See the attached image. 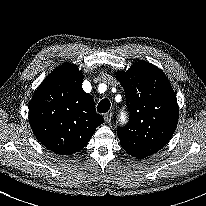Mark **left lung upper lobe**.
I'll return each mask as SVG.
<instances>
[{"label":"left lung upper lobe","instance_id":"left-lung-upper-lobe-1","mask_svg":"<svg viewBox=\"0 0 206 206\" xmlns=\"http://www.w3.org/2000/svg\"><path fill=\"white\" fill-rule=\"evenodd\" d=\"M129 124L118 127L122 148L143 158L163 148L175 132L179 117L177 99L166 75L156 66L138 61L127 72H118Z\"/></svg>","mask_w":206,"mask_h":206}]
</instances>
